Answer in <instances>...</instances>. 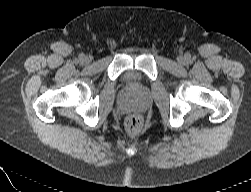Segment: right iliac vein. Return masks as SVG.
I'll use <instances>...</instances> for the list:
<instances>
[{"label": "right iliac vein", "mask_w": 251, "mask_h": 192, "mask_svg": "<svg viewBox=\"0 0 251 192\" xmlns=\"http://www.w3.org/2000/svg\"><path fill=\"white\" fill-rule=\"evenodd\" d=\"M82 62H83L84 64L90 63V62H91V57L85 56V57L82 59Z\"/></svg>", "instance_id": "1"}]
</instances>
